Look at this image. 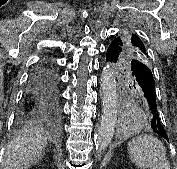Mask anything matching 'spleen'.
Instances as JSON below:
<instances>
[{"label": "spleen", "instance_id": "1", "mask_svg": "<svg viewBox=\"0 0 177 169\" xmlns=\"http://www.w3.org/2000/svg\"><path fill=\"white\" fill-rule=\"evenodd\" d=\"M130 160L142 169H170L163 143L155 136L144 134L128 143Z\"/></svg>", "mask_w": 177, "mask_h": 169}]
</instances>
